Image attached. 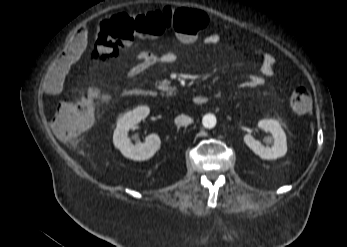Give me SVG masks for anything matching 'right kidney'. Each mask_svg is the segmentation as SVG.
Listing matches in <instances>:
<instances>
[{"instance_id": "obj_1", "label": "right kidney", "mask_w": 347, "mask_h": 247, "mask_svg": "<svg viewBox=\"0 0 347 247\" xmlns=\"http://www.w3.org/2000/svg\"><path fill=\"white\" fill-rule=\"evenodd\" d=\"M150 110L146 106L138 107L125 113L117 121V127L113 133V143L117 149L127 158L135 161L150 159L160 148L158 135L151 134L146 137L144 143L133 145L128 137L129 130L142 119H145Z\"/></svg>"}]
</instances>
